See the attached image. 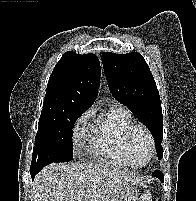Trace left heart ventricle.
<instances>
[{"label":"left heart ventricle","mask_w":196,"mask_h":201,"mask_svg":"<svg viewBox=\"0 0 196 201\" xmlns=\"http://www.w3.org/2000/svg\"><path fill=\"white\" fill-rule=\"evenodd\" d=\"M149 142L146 135L138 131L134 134L131 142V153L133 162L136 165L145 163L149 157Z\"/></svg>","instance_id":"obj_1"}]
</instances>
